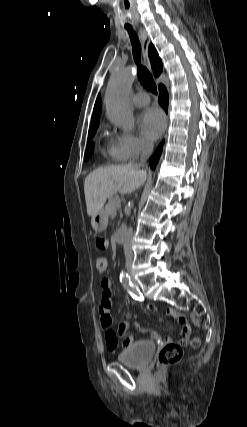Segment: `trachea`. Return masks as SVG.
Segmentation results:
<instances>
[{
	"instance_id": "3493384b",
	"label": "trachea",
	"mask_w": 247,
	"mask_h": 427,
	"mask_svg": "<svg viewBox=\"0 0 247 427\" xmlns=\"http://www.w3.org/2000/svg\"><path fill=\"white\" fill-rule=\"evenodd\" d=\"M125 28L127 29L128 33H129V37L131 40V44H132V52H133V56H134V60L135 63L137 64V70H138V79L140 81V83L142 84V86L152 92V93H156L157 92V88H156V84L153 80L152 75L150 74V72L141 65L140 63V57H141V46H140V42L138 39L137 34L135 33V31L133 30V28L129 25H126Z\"/></svg>"
}]
</instances>
